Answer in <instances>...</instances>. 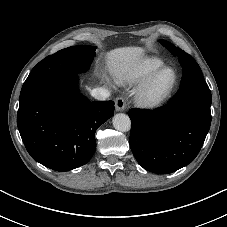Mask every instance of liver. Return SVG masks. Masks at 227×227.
Returning a JSON list of instances; mask_svg holds the SVG:
<instances>
[{
  "mask_svg": "<svg viewBox=\"0 0 227 227\" xmlns=\"http://www.w3.org/2000/svg\"><path fill=\"white\" fill-rule=\"evenodd\" d=\"M144 48L138 46L119 47L106 53V67L115 76L121 77L128 70L143 62Z\"/></svg>",
  "mask_w": 227,
  "mask_h": 227,
  "instance_id": "obj_1",
  "label": "liver"
}]
</instances>
